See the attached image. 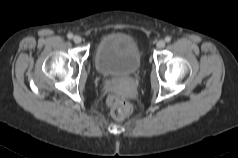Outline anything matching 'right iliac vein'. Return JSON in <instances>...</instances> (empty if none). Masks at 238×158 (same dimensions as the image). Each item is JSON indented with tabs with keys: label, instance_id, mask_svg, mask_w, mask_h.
<instances>
[{
	"label": "right iliac vein",
	"instance_id": "1",
	"mask_svg": "<svg viewBox=\"0 0 238 158\" xmlns=\"http://www.w3.org/2000/svg\"><path fill=\"white\" fill-rule=\"evenodd\" d=\"M73 41H74L76 44H79V43H81V37L78 36V35H76V36L73 37Z\"/></svg>",
	"mask_w": 238,
	"mask_h": 158
}]
</instances>
